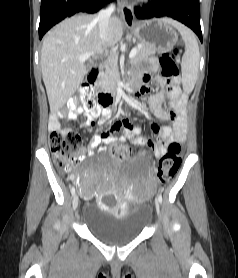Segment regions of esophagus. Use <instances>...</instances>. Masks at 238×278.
<instances>
[{"mask_svg":"<svg viewBox=\"0 0 238 278\" xmlns=\"http://www.w3.org/2000/svg\"><path fill=\"white\" fill-rule=\"evenodd\" d=\"M121 17L126 24L133 25L135 22L134 13L131 5L126 1L122 0L120 3Z\"/></svg>","mask_w":238,"mask_h":278,"instance_id":"esophagus-1","label":"esophagus"}]
</instances>
